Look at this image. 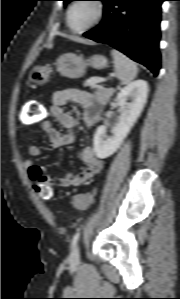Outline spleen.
Returning <instances> with one entry per match:
<instances>
[{"mask_svg":"<svg viewBox=\"0 0 180 299\" xmlns=\"http://www.w3.org/2000/svg\"><path fill=\"white\" fill-rule=\"evenodd\" d=\"M111 55L115 67V76L122 85L130 84L138 73L136 63L115 49L111 51Z\"/></svg>","mask_w":180,"mask_h":299,"instance_id":"3e777b00","label":"spleen"}]
</instances>
